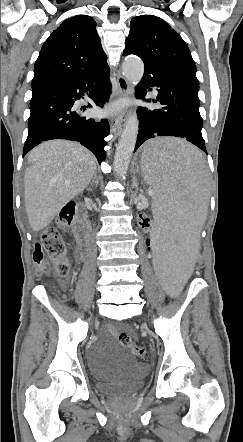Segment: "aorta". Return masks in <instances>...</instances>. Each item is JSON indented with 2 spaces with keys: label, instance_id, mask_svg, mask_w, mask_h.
<instances>
[{
  "label": "aorta",
  "instance_id": "obj_1",
  "mask_svg": "<svg viewBox=\"0 0 243 442\" xmlns=\"http://www.w3.org/2000/svg\"><path fill=\"white\" fill-rule=\"evenodd\" d=\"M123 75L134 86H136L144 73V63L136 56L127 57L122 64ZM138 119L136 113L132 114L121 134L116 147L114 157V171L120 179L125 178L130 159L135 148L138 135Z\"/></svg>",
  "mask_w": 243,
  "mask_h": 442
}]
</instances>
